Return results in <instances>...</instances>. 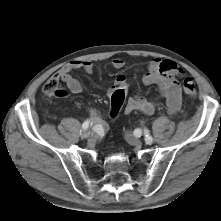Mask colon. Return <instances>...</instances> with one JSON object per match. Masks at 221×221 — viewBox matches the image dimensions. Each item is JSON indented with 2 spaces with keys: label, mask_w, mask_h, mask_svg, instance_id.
Returning <instances> with one entry per match:
<instances>
[{
  "label": "colon",
  "mask_w": 221,
  "mask_h": 221,
  "mask_svg": "<svg viewBox=\"0 0 221 221\" xmlns=\"http://www.w3.org/2000/svg\"><path fill=\"white\" fill-rule=\"evenodd\" d=\"M182 85L184 92L190 96H196V87L192 78L182 75ZM43 93L51 97H65L67 92L59 87V80L55 77L49 78L43 85ZM126 99V90L124 88H116L110 95V111L109 115L112 119L116 118L119 114L121 107Z\"/></svg>",
  "instance_id": "1"
}]
</instances>
